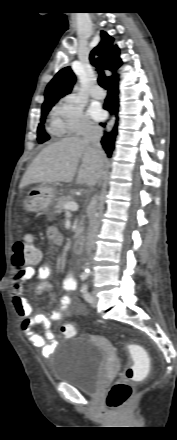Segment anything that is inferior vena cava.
Segmentation results:
<instances>
[{
    "mask_svg": "<svg viewBox=\"0 0 177 440\" xmlns=\"http://www.w3.org/2000/svg\"><path fill=\"white\" fill-rule=\"evenodd\" d=\"M102 133L101 127L88 124L84 130L83 137L86 142L91 143L93 147L102 152L100 144ZM97 210V196H95L92 199V209L89 213V228L86 242V251L88 256H90L95 246V237L99 226Z\"/></svg>",
    "mask_w": 177,
    "mask_h": 440,
    "instance_id": "inferior-vena-cava-1",
    "label": "inferior vena cava"
}]
</instances>
